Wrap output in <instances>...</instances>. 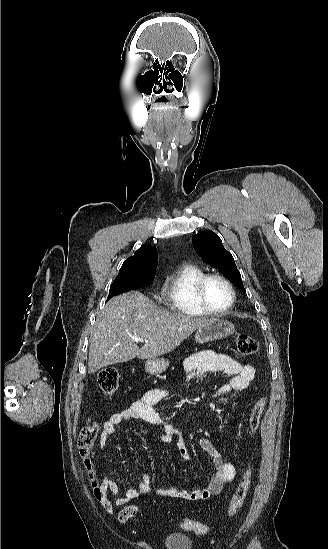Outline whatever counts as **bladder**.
<instances>
[{"label": "bladder", "mask_w": 328, "mask_h": 549, "mask_svg": "<svg viewBox=\"0 0 328 549\" xmlns=\"http://www.w3.org/2000/svg\"><path fill=\"white\" fill-rule=\"evenodd\" d=\"M165 543L168 549H191L192 540L186 535L167 534Z\"/></svg>", "instance_id": "1"}]
</instances>
